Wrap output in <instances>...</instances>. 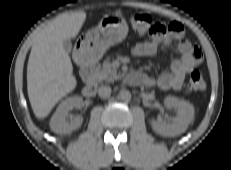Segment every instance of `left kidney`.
<instances>
[{"label":"left kidney","mask_w":231,"mask_h":170,"mask_svg":"<svg viewBox=\"0 0 231 170\" xmlns=\"http://www.w3.org/2000/svg\"><path fill=\"white\" fill-rule=\"evenodd\" d=\"M164 105L174 108L177 111V116L172 119L170 124L161 120H151L153 130L163 136H176L184 133L194 119L193 105L171 96L164 99Z\"/></svg>","instance_id":"obj_1"}]
</instances>
